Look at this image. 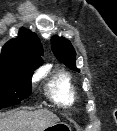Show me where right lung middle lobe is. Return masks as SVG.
<instances>
[{
    "mask_svg": "<svg viewBox=\"0 0 117 131\" xmlns=\"http://www.w3.org/2000/svg\"><path fill=\"white\" fill-rule=\"evenodd\" d=\"M31 76L24 67L0 68V109L20 104L31 95Z\"/></svg>",
    "mask_w": 117,
    "mask_h": 131,
    "instance_id": "obj_1",
    "label": "right lung middle lobe"
}]
</instances>
